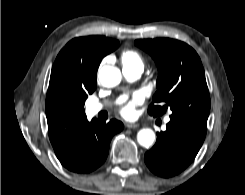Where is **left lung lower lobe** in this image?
<instances>
[{
    "mask_svg": "<svg viewBox=\"0 0 245 195\" xmlns=\"http://www.w3.org/2000/svg\"><path fill=\"white\" fill-rule=\"evenodd\" d=\"M206 125L170 119L165 132L157 133L145 163L158 176L172 177L187 168L196 157L206 136Z\"/></svg>",
    "mask_w": 245,
    "mask_h": 195,
    "instance_id": "obj_1",
    "label": "left lung lower lobe"
}]
</instances>
